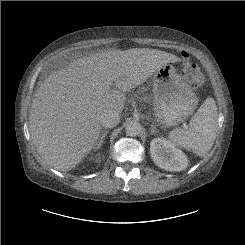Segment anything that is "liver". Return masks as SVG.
I'll use <instances>...</instances> for the list:
<instances>
[{"instance_id": "obj_1", "label": "liver", "mask_w": 245, "mask_h": 245, "mask_svg": "<svg viewBox=\"0 0 245 245\" xmlns=\"http://www.w3.org/2000/svg\"><path fill=\"white\" fill-rule=\"evenodd\" d=\"M177 56L149 48L110 50L84 56L49 75L36 90L29 114L31 139L45 163L73 169L96 146L100 114L121 113L127 91Z\"/></svg>"}]
</instances>
